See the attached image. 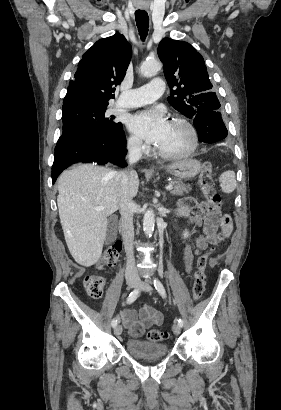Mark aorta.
Returning <instances> with one entry per match:
<instances>
[{"mask_svg": "<svg viewBox=\"0 0 281 410\" xmlns=\"http://www.w3.org/2000/svg\"><path fill=\"white\" fill-rule=\"evenodd\" d=\"M162 65L159 61H145L140 66V73L144 77H152L160 71ZM155 215L153 210H147L143 218V230L147 237H151L154 231Z\"/></svg>", "mask_w": 281, "mask_h": 410, "instance_id": "aorta-1", "label": "aorta"}]
</instances>
